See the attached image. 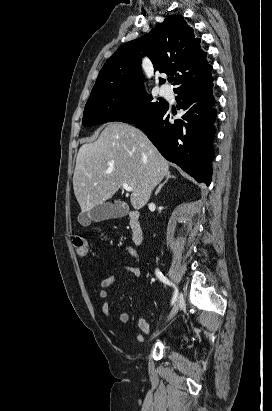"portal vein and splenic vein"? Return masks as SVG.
<instances>
[{
    "label": "portal vein and splenic vein",
    "mask_w": 272,
    "mask_h": 411,
    "mask_svg": "<svg viewBox=\"0 0 272 411\" xmlns=\"http://www.w3.org/2000/svg\"><path fill=\"white\" fill-rule=\"evenodd\" d=\"M122 187H123V189H125L126 191H132V190H133V188H132L131 186H129L127 183H124V184L122 185Z\"/></svg>",
    "instance_id": "18ae733b"
}]
</instances>
